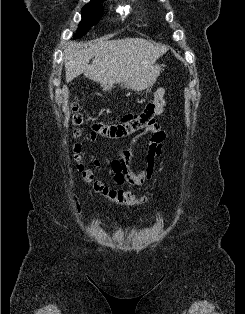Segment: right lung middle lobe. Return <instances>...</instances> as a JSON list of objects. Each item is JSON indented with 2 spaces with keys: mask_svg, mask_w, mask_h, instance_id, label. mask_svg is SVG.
<instances>
[{
  "mask_svg": "<svg viewBox=\"0 0 245 314\" xmlns=\"http://www.w3.org/2000/svg\"><path fill=\"white\" fill-rule=\"evenodd\" d=\"M100 2L101 1H91L82 8V21L79 24L74 38L84 36L89 29L100 20L104 10Z\"/></svg>",
  "mask_w": 245,
  "mask_h": 314,
  "instance_id": "dd1d6c3e",
  "label": "right lung middle lobe"
}]
</instances>
